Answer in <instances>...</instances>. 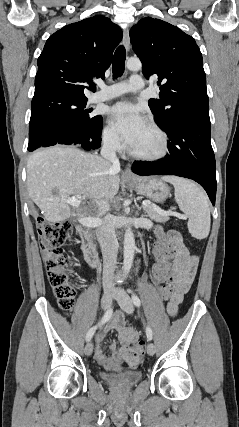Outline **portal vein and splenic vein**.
Listing matches in <instances>:
<instances>
[{"instance_id":"18ae733b","label":"portal vein and splenic vein","mask_w":239,"mask_h":427,"mask_svg":"<svg viewBox=\"0 0 239 427\" xmlns=\"http://www.w3.org/2000/svg\"><path fill=\"white\" fill-rule=\"evenodd\" d=\"M79 199H81V197H77V198L76 197H72V198L69 199L68 202L71 203L72 205H75V204H77V203L80 202ZM142 205L144 207L145 206H149V205H151V202L145 200V201L142 202ZM154 207L157 210V212H159L160 214H163V215H171V214H173L171 212H165V211L161 210L159 207H157L155 205H154ZM82 224H85V225L91 226V227H97V226H100L102 224V219H100V218H87V219H85V220L82 221Z\"/></svg>"}]
</instances>
